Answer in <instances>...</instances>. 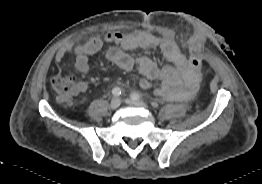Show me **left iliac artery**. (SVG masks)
I'll list each match as a JSON object with an SVG mask.
<instances>
[{"label":"left iliac artery","instance_id":"1","mask_svg":"<svg viewBox=\"0 0 262 184\" xmlns=\"http://www.w3.org/2000/svg\"><path fill=\"white\" fill-rule=\"evenodd\" d=\"M130 97L134 100H140L142 98L138 93H132Z\"/></svg>","mask_w":262,"mask_h":184}]
</instances>
